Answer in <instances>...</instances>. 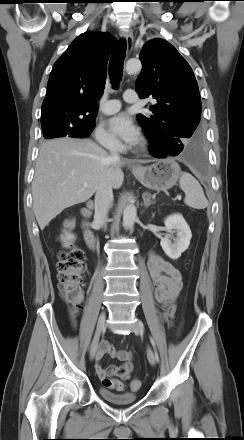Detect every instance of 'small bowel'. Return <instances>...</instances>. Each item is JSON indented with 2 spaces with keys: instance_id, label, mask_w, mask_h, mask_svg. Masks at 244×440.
I'll return each instance as SVG.
<instances>
[{
  "instance_id": "c3829d8e",
  "label": "small bowel",
  "mask_w": 244,
  "mask_h": 440,
  "mask_svg": "<svg viewBox=\"0 0 244 440\" xmlns=\"http://www.w3.org/2000/svg\"><path fill=\"white\" fill-rule=\"evenodd\" d=\"M148 269L152 279L156 301L161 306V317L170 322L176 310V299L182 290V277L180 271L162 256L151 252L148 259ZM109 355L123 363L119 366L109 365L104 367L102 358ZM133 354L126 350H117L109 342L101 341L96 354L95 370L98 377H117L121 380L130 378L133 371Z\"/></svg>"
}]
</instances>
